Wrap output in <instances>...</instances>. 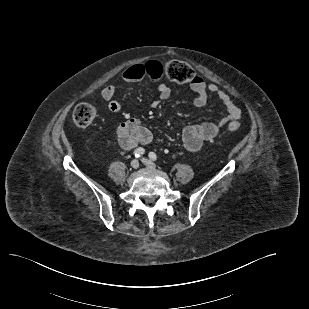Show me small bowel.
I'll list each match as a JSON object with an SVG mask.
<instances>
[{"label":"small bowel","instance_id":"small-bowel-1","mask_svg":"<svg viewBox=\"0 0 309 309\" xmlns=\"http://www.w3.org/2000/svg\"><path fill=\"white\" fill-rule=\"evenodd\" d=\"M153 62L159 64L157 61H149L126 68L121 74L122 80L138 82L146 77L152 80H159L162 71L159 66L152 65ZM190 88L195 93L193 103L196 107L204 106L208 101L209 95L214 94L227 110V114L216 122L190 125L183 130L182 139L184 146L189 151L196 152L205 142L214 139L221 127L230 122H237L241 117V110L227 92L220 90L214 83L207 84L198 76L190 83ZM116 91L117 87L115 85H108L101 92V96L107 102V107L111 112H119L121 110V104L114 99ZM157 92L162 101L167 100L171 96V88L166 83H159L157 85ZM117 137L120 146L125 150H131L138 144H149L153 140L151 131L136 118H128L123 121L117 128Z\"/></svg>","mask_w":309,"mask_h":309}]
</instances>
